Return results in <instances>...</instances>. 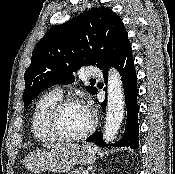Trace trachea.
<instances>
[{
    "instance_id": "obj_1",
    "label": "trachea",
    "mask_w": 175,
    "mask_h": 174,
    "mask_svg": "<svg viewBox=\"0 0 175 174\" xmlns=\"http://www.w3.org/2000/svg\"><path fill=\"white\" fill-rule=\"evenodd\" d=\"M92 81H96V79H91Z\"/></svg>"
}]
</instances>
